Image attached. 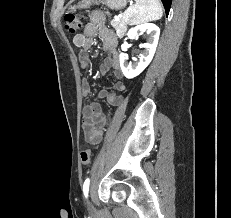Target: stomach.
<instances>
[{
	"instance_id": "0dacf381",
	"label": "stomach",
	"mask_w": 231,
	"mask_h": 218,
	"mask_svg": "<svg viewBox=\"0 0 231 218\" xmlns=\"http://www.w3.org/2000/svg\"><path fill=\"white\" fill-rule=\"evenodd\" d=\"M103 4L111 10H121L126 4L127 0H81L77 7L78 8H88L92 4Z\"/></svg>"
}]
</instances>
